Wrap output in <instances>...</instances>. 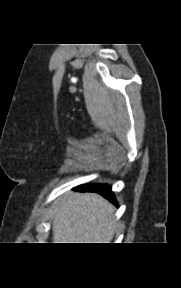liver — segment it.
I'll list each match as a JSON object with an SVG mask.
<instances>
[{
	"label": "liver",
	"instance_id": "liver-1",
	"mask_svg": "<svg viewBox=\"0 0 181 288\" xmlns=\"http://www.w3.org/2000/svg\"><path fill=\"white\" fill-rule=\"evenodd\" d=\"M114 206L95 193H67L56 202L54 243H110L116 220Z\"/></svg>",
	"mask_w": 181,
	"mask_h": 288
}]
</instances>
